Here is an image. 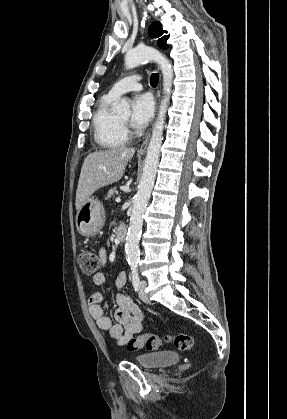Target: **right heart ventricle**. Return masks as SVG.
Here are the masks:
<instances>
[{
	"instance_id": "1",
	"label": "right heart ventricle",
	"mask_w": 287,
	"mask_h": 419,
	"mask_svg": "<svg viewBox=\"0 0 287 419\" xmlns=\"http://www.w3.org/2000/svg\"><path fill=\"white\" fill-rule=\"evenodd\" d=\"M115 97L109 93L101 96L92 118L95 142L102 148L113 149L124 145L127 136L119 124L117 116L111 111Z\"/></svg>"
}]
</instances>
